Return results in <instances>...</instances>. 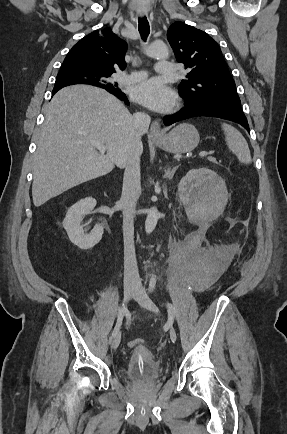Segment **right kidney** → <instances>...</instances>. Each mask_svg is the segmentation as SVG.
I'll return each instance as SVG.
<instances>
[{
    "instance_id": "obj_1",
    "label": "right kidney",
    "mask_w": 287,
    "mask_h": 434,
    "mask_svg": "<svg viewBox=\"0 0 287 434\" xmlns=\"http://www.w3.org/2000/svg\"><path fill=\"white\" fill-rule=\"evenodd\" d=\"M96 206L94 198H85L71 206L63 221L70 241L80 249L87 250L94 247L102 238L103 226L97 224L89 234H85L81 222L85 215L91 213Z\"/></svg>"
}]
</instances>
